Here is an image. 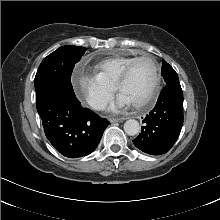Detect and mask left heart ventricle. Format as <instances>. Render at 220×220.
Segmentation results:
<instances>
[{"label": "left heart ventricle", "instance_id": "b2bd125f", "mask_svg": "<svg viewBox=\"0 0 220 220\" xmlns=\"http://www.w3.org/2000/svg\"><path fill=\"white\" fill-rule=\"evenodd\" d=\"M154 76L153 64L150 59H144L135 64L129 79L123 85L121 94L132 104L145 99L150 91Z\"/></svg>", "mask_w": 220, "mask_h": 220}]
</instances>
